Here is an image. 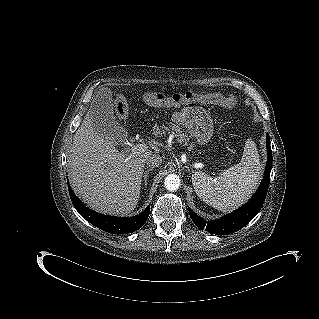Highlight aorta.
<instances>
[{
	"label": "aorta",
	"instance_id": "aorta-1",
	"mask_svg": "<svg viewBox=\"0 0 319 319\" xmlns=\"http://www.w3.org/2000/svg\"><path fill=\"white\" fill-rule=\"evenodd\" d=\"M165 188L169 191H176L180 187V178L175 174H169L164 181Z\"/></svg>",
	"mask_w": 319,
	"mask_h": 319
}]
</instances>
